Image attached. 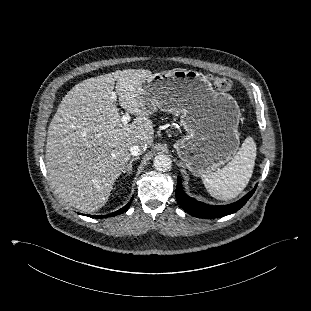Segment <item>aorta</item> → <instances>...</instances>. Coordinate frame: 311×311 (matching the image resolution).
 Masks as SVG:
<instances>
[{
    "mask_svg": "<svg viewBox=\"0 0 311 311\" xmlns=\"http://www.w3.org/2000/svg\"><path fill=\"white\" fill-rule=\"evenodd\" d=\"M153 165L156 170L165 172L171 168L172 161L168 155L160 154L154 158Z\"/></svg>",
    "mask_w": 311,
    "mask_h": 311,
    "instance_id": "1",
    "label": "aorta"
}]
</instances>
